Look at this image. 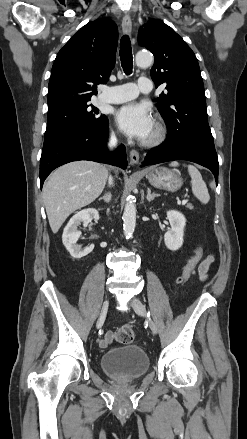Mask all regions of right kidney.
<instances>
[{
  "mask_svg": "<svg viewBox=\"0 0 247 439\" xmlns=\"http://www.w3.org/2000/svg\"><path fill=\"white\" fill-rule=\"evenodd\" d=\"M100 218L99 212L94 208H87L77 212L68 222L64 228L62 235V242L66 249L69 251L73 258L80 259L94 249V245H90L86 248H81L76 244L81 232L78 230V226L81 224L87 225L93 219L98 220Z\"/></svg>",
  "mask_w": 247,
  "mask_h": 439,
  "instance_id": "ca27d5eb",
  "label": "right kidney"
}]
</instances>
